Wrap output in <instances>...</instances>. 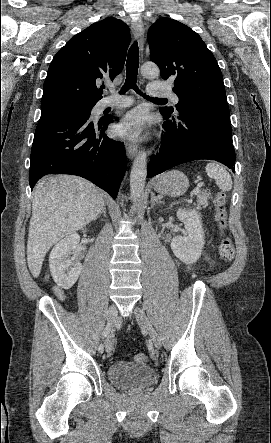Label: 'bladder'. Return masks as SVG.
<instances>
[{"instance_id": "obj_1", "label": "bladder", "mask_w": 271, "mask_h": 443, "mask_svg": "<svg viewBox=\"0 0 271 443\" xmlns=\"http://www.w3.org/2000/svg\"><path fill=\"white\" fill-rule=\"evenodd\" d=\"M108 378L113 385L121 389L141 391L156 381L157 374L150 366L118 361L109 366Z\"/></svg>"}]
</instances>
